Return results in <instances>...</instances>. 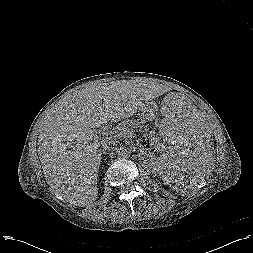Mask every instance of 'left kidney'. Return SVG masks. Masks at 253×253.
Returning a JSON list of instances; mask_svg holds the SVG:
<instances>
[{
    "instance_id": "obj_1",
    "label": "left kidney",
    "mask_w": 253,
    "mask_h": 253,
    "mask_svg": "<svg viewBox=\"0 0 253 253\" xmlns=\"http://www.w3.org/2000/svg\"><path fill=\"white\" fill-rule=\"evenodd\" d=\"M181 190H183V189H179V191H181ZM184 190H186V188H184Z\"/></svg>"
}]
</instances>
